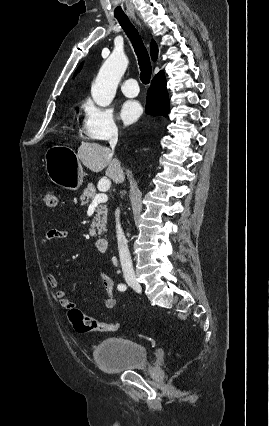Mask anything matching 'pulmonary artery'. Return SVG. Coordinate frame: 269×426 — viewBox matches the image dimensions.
Listing matches in <instances>:
<instances>
[{
    "mask_svg": "<svg viewBox=\"0 0 269 426\" xmlns=\"http://www.w3.org/2000/svg\"><path fill=\"white\" fill-rule=\"evenodd\" d=\"M121 91L127 97H135L139 93V87L136 79L128 78L121 84Z\"/></svg>",
    "mask_w": 269,
    "mask_h": 426,
    "instance_id": "pulmonary-artery-1",
    "label": "pulmonary artery"
}]
</instances>
